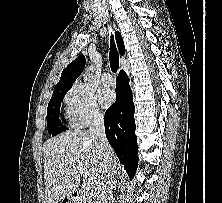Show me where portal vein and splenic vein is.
<instances>
[{"label": "portal vein and splenic vein", "instance_id": "18ae733b", "mask_svg": "<svg viewBox=\"0 0 222 203\" xmlns=\"http://www.w3.org/2000/svg\"><path fill=\"white\" fill-rule=\"evenodd\" d=\"M79 173L80 174H83V170L80 168L79 169ZM82 186H83V188L85 189V190H90L91 189V184H90V182H88V181H83V184H82Z\"/></svg>", "mask_w": 222, "mask_h": 203}]
</instances>
